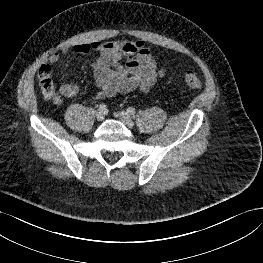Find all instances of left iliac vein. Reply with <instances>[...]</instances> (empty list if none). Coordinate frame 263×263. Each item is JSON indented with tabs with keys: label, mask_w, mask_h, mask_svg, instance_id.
I'll use <instances>...</instances> for the list:
<instances>
[{
	"label": "left iliac vein",
	"mask_w": 263,
	"mask_h": 263,
	"mask_svg": "<svg viewBox=\"0 0 263 263\" xmlns=\"http://www.w3.org/2000/svg\"><path fill=\"white\" fill-rule=\"evenodd\" d=\"M118 116H119L120 120H121L127 127H129V128H132V127H133L134 122H133L131 116H130L127 112H125V111H120V112L118 113Z\"/></svg>",
	"instance_id": "1"
}]
</instances>
